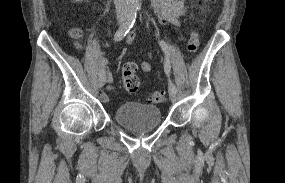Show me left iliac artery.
<instances>
[{"label":"left iliac artery","mask_w":285,"mask_h":183,"mask_svg":"<svg viewBox=\"0 0 285 183\" xmlns=\"http://www.w3.org/2000/svg\"><path fill=\"white\" fill-rule=\"evenodd\" d=\"M159 45L165 53L164 71L167 75H169L171 69L169 47L168 44L164 41H159ZM169 89H172L177 92L176 86L171 80H169Z\"/></svg>","instance_id":"obj_1"}]
</instances>
